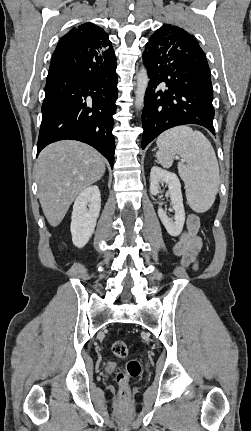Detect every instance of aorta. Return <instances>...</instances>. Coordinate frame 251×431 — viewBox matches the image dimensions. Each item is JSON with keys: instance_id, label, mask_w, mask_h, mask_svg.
I'll list each match as a JSON object with an SVG mask.
<instances>
[{"instance_id": "obj_1", "label": "aorta", "mask_w": 251, "mask_h": 431, "mask_svg": "<svg viewBox=\"0 0 251 431\" xmlns=\"http://www.w3.org/2000/svg\"><path fill=\"white\" fill-rule=\"evenodd\" d=\"M149 77L147 69L142 66L137 75V88L135 91V106L140 109L144 104L145 93L148 87Z\"/></svg>"}]
</instances>
